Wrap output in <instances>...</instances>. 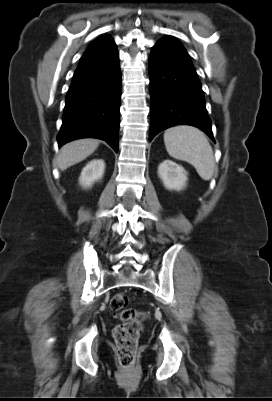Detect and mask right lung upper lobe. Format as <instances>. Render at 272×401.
I'll list each match as a JSON object with an SVG mask.
<instances>
[{
  "mask_svg": "<svg viewBox=\"0 0 272 401\" xmlns=\"http://www.w3.org/2000/svg\"><path fill=\"white\" fill-rule=\"evenodd\" d=\"M114 44L115 43L113 39L108 35H103L99 37L87 47L86 51L84 52V55L80 59L79 64L84 63L94 58L95 56L103 53L105 50H107Z\"/></svg>",
  "mask_w": 272,
  "mask_h": 401,
  "instance_id": "cb5924a9",
  "label": "right lung upper lobe"
}]
</instances>
